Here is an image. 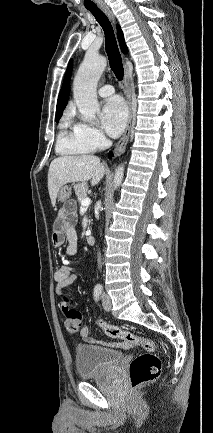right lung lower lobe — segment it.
<instances>
[{
    "mask_svg": "<svg viewBox=\"0 0 213 433\" xmlns=\"http://www.w3.org/2000/svg\"><path fill=\"white\" fill-rule=\"evenodd\" d=\"M112 155H113V154L110 152V153H109V157H111Z\"/></svg>",
    "mask_w": 213,
    "mask_h": 433,
    "instance_id": "obj_1",
    "label": "right lung lower lobe"
}]
</instances>
